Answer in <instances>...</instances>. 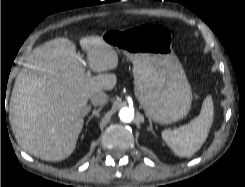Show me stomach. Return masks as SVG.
I'll use <instances>...</instances> for the list:
<instances>
[{
	"label": "stomach",
	"mask_w": 245,
	"mask_h": 187,
	"mask_svg": "<svg viewBox=\"0 0 245 187\" xmlns=\"http://www.w3.org/2000/svg\"><path fill=\"white\" fill-rule=\"evenodd\" d=\"M102 39L132 61L135 96L149 118L170 124L188 114L192 90L166 26L143 24L112 30Z\"/></svg>",
	"instance_id": "0dacf381"
}]
</instances>
